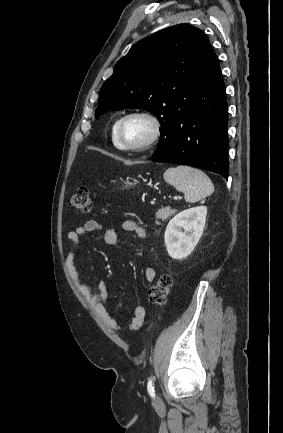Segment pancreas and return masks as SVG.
<instances>
[{
	"instance_id": "pancreas-1",
	"label": "pancreas",
	"mask_w": 283,
	"mask_h": 433,
	"mask_svg": "<svg viewBox=\"0 0 283 433\" xmlns=\"http://www.w3.org/2000/svg\"><path fill=\"white\" fill-rule=\"evenodd\" d=\"M176 212V208H170V206H165V208H158L156 212V219H168V217H171V214H174Z\"/></svg>"
}]
</instances>
